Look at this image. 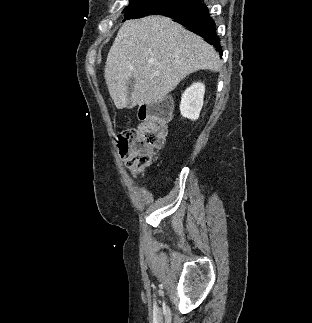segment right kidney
Wrapping results in <instances>:
<instances>
[{"instance_id":"1","label":"right kidney","mask_w":312,"mask_h":323,"mask_svg":"<svg viewBox=\"0 0 312 323\" xmlns=\"http://www.w3.org/2000/svg\"><path fill=\"white\" fill-rule=\"evenodd\" d=\"M204 94L205 86L204 84H200V82L192 84L190 88L185 90L180 102V112L183 118L198 120L203 106Z\"/></svg>"}]
</instances>
